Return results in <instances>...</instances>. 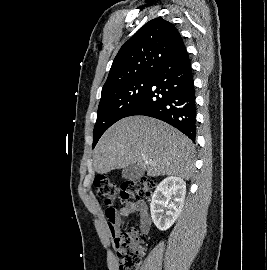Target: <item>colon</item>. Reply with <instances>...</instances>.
<instances>
[{
    "label": "colon",
    "mask_w": 267,
    "mask_h": 270,
    "mask_svg": "<svg viewBox=\"0 0 267 270\" xmlns=\"http://www.w3.org/2000/svg\"><path fill=\"white\" fill-rule=\"evenodd\" d=\"M155 184V181L148 177L127 181L120 186L106 176H98L94 180L96 195L106 203L108 206L106 211L110 213H113L115 210L111 205L118 195L123 200L148 198ZM143 242V233L137 228L118 232L114 236L119 270H139L144 252Z\"/></svg>",
    "instance_id": "obj_1"
}]
</instances>
